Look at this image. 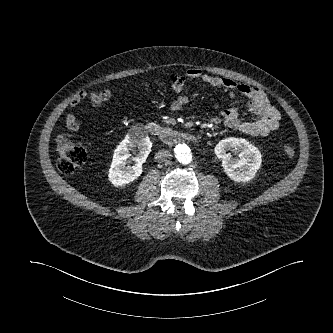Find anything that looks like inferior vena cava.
Masks as SVG:
<instances>
[{
  "instance_id": "602c4592",
  "label": "inferior vena cava",
  "mask_w": 333,
  "mask_h": 333,
  "mask_svg": "<svg viewBox=\"0 0 333 333\" xmlns=\"http://www.w3.org/2000/svg\"><path fill=\"white\" fill-rule=\"evenodd\" d=\"M171 156L168 150L161 149L155 154V159L158 163H167L170 161Z\"/></svg>"
}]
</instances>
